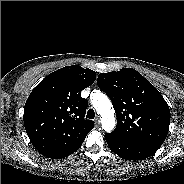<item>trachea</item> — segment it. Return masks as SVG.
<instances>
[{
  "instance_id": "obj_1",
  "label": "trachea",
  "mask_w": 184,
  "mask_h": 184,
  "mask_svg": "<svg viewBox=\"0 0 184 184\" xmlns=\"http://www.w3.org/2000/svg\"><path fill=\"white\" fill-rule=\"evenodd\" d=\"M95 117V112L93 109H89L88 112H87V115H86V118L88 119H94Z\"/></svg>"
}]
</instances>
